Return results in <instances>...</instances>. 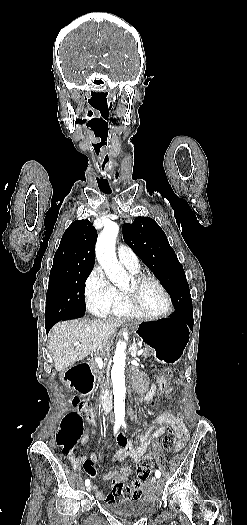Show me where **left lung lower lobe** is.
I'll return each instance as SVG.
<instances>
[{
  "mask_svg": "<svg viewBox=\"0 0 247 525\" xmlns=\"http://www.w3.org/2000/svg\"><path fill=\"white\" fill-rule=\"evenodd\" d=\"M169 321L187 324L193 329V307L175 310Z\"/></svg>",
  "mask_w": 247,
  "mask_h": 525,
  "instance_id": "0a47b994",
  "label": "left lung lower lobe"
}]
</instances>
